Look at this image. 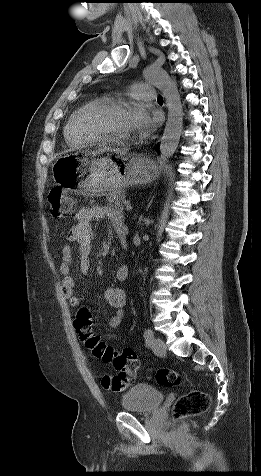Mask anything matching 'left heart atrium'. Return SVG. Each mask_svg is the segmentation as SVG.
I'll use <instances>...</instances> for the list:
<instances>
[{
	"instance_id": "1",
	"label": "left heart atrium",
	"mask_w": 261,
	"mask_h": 476,
	"mask_svg": "<svg viewBox=\"0 0 261 476\" xmlns=\"http://www.w3.org/2000/svg\"><path fill=\"white\" fill-rule=\"evenodd\" d=\"M129 119L132 132L137 133L141 137H145L153 132L159 123L158 116L151 115L142 105H136L131 108Z\"/></svg>"
}]
</instances>
